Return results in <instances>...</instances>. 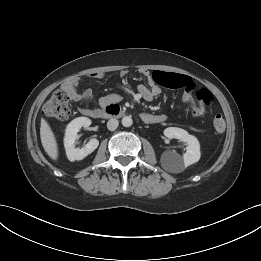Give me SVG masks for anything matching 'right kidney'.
Masks as SVG:
<instances>
[{
	"mask_svg": "<svg viewBox=\"0 0 261 261\" xmlns=\"http://www.w3.org/2000/svg\"><path fill=\"white\" fill-rule=\"evenodd\" d=\"M90 125L91 120L87 117L75 118L67 125L64 137V146L66 155L70 161L82 160L98 147L99 141L93 138L90 139L83 148H75V140L77 139L78 132L82 127L87 128Z\"/></svg>",
	"mask_w": 261,
	"mask_h": 261,
	"instance_id": "obj_1",
	"label": "right kidney"
}]
</instances>
